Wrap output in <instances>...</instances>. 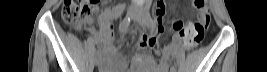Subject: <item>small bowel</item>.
Segmentation results:
<instances>
[{"label": "small bowel", "mask_w": 267, "mask_h": 72, "mask_svg": "<svg viewBox=\"0 0 267 72\" xmlns=\"http://www.w3.org/2000/svg\"><path fill=\"white\" fill-rule=\"evenodd\" d=\"M123 8H124L123 6H116L112 10L108 11L107 14H104L98 21L100 31L108 32L109 27L106 26L107 20L110 18V16L117 15L118 13L122 12ZM157 13L159 16V22H161L162 16L165 13L164 4L158 5ZM177 21H175V22H177ZM179 22H181V21H179ZM173 30H174V28H173ZM181 40H183V38L179 34H177L174 38L173 44L167 48V51L169 53L177 51L178 46L181 43ZM156 42L157 41H156V38L154 36H147V35L141 36L139 39V50L144 51L150 47H154L156 45ZM103 49H104L105 56H108L113 50V47L109 41L108 36H103ZM169 59H170L169 56L163 58L161 66H157L156 61L151 56H145L143 58H141L140 56H137L138 61H142L147 65V69H149V72H165L167 67H168ZM123 65H124V62L120 60L118 67H117V71H122L123 67H124Z\"/></svg>", "instance_id": "c3829d8e"}]
</instances>
